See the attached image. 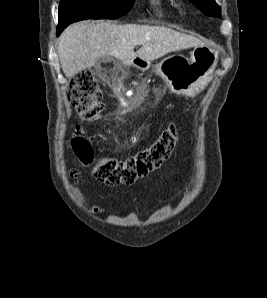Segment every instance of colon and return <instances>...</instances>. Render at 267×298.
I'll use <instances>...</instances> for the list:
<instances>
[{"instance_id":"1","label":"colon","mask_w":267,"mask_h":298,"mask_svg":"<svg viewBox=\"0 0 267 298\" xmlns=\"http://www.w3.org/2000/svg\"><path fill=\"white\" fill-rule=\"evenodd\" d=\"M67 98L85 120L95 119L102 109L98 83L88 71H81L71 79ZM178 139L177 126L172 123L152 144L124 160L97 158L91 144L79 131L71 140V148L83 165L92 166L93 176L98 181L111 186L130 185L159 168L171 156Z\"/></svg>"}]
</instances>
